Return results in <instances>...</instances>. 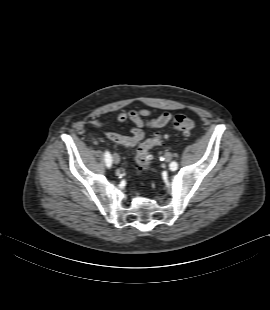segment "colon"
I'll return each instance as SVG.
<instances>
[{
	"label": "colon",
	"mask_w": 270,
	"mask_h": 310,
	"mask_svg": "<svg viewBox=\"0 0 270 310\" xmlns=\"http://www.w3.org/2000/svg\"><path fill=\"white\" fill-rule=\"evenodd\" d=\"M172 127L176 131L188 134L194 129L195 123L191 118L185 115H176L172 120ZM164 138L165 136L163 134H156L153 137L138 144L135 157L138 174H143L151 168V150L155 146L161 144Z\"/></svg>",
	"instance_id": "1"
}]
</instances>
